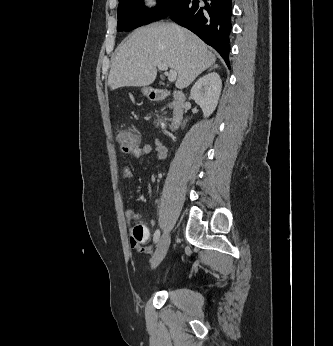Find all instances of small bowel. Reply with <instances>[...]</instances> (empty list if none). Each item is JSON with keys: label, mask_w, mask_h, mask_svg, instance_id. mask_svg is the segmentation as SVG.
Here are the masks:
<instances>
[{"label": "small bowel", "mask_w": 333, "mask_h": 346, "mask_svg": "<svg viewBox=\"0 0 333 346\" xmlns=\"http://www.w3.org/2000/svg\"><path fill=\"white\" fill-rule=\"evenodd\" d=\"M153 148L155 149L156 156L159 160H164L167 157V154H168L167 147L158 140L154 141L153 144H144L139 146L137 149L131 152V155L135 158L144 157L149 155L153 151ZM132 177H133L132 168L125 167L123 170V178L128 180V179H131ZM127 218H128L129 225H131L133 221V213L131 211L128 212ZM128 245L130 247H133V250H136L137 254H146L150 252L151 250V247L146 246V243H141V240L139 239L138 235H131Z\"/></svg>", "instance_id": "small-bowel-1"}]
</instances>
